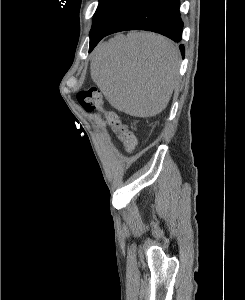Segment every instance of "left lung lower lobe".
Here are the masks:
<instances>
[{
    "mask_svg": "<svg viewBox=\"0 0 245 300\" xmlns=\"http://www.w3.org/2000/svg\"><path fill=\"white\" fill-rule=\"evenodd\" d=\"M179 0H140L123 13L105 33L90 34L89 52L110 34L126 30H147L162 34L175 42L182 39L183 22L180 19ZM184 57V45H180Z\"/></svg>",
    "mask_w": 245,
    "mask_h": 300,
    "instance_id": "0a47b994",
    "label": "left lung lower lobe"
}]
</instances>
